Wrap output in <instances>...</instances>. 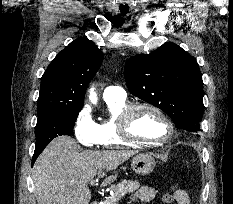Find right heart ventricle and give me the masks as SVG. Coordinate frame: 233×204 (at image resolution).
I'll return each instance as SVG.
<instances>
[{
    "label": "right heart ventricle",
    "instance_id": "e07e8e85",
    "mask_svg": "<svg viewBox=\"0 0 233 204\" xmlns=\"http://www.w3.org/2000/svg\"><path fill=\"white\" fill-rule=\"evenodd\" d=\"M109 118L97 123L99 145L105 148H118L122 146H133L125 142L119 135L118 119L122 111L129 106L126 99L105 100Z\"/></svg>",
    "mask_w": 233,
    "mask_h": 204
}]
</instances>
